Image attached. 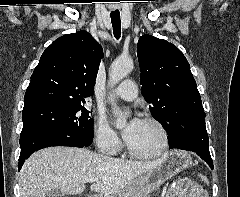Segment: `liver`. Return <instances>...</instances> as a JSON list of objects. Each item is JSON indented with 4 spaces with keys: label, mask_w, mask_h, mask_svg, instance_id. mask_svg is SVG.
Instances as JSON below:
<instances>
[{
    "label": "liver",
    "mask_w": 240,
    "mask_h": 197,
    "mask_svg": "<svg viewBox=\"0 0 240 197\" xmlns=\"http://www.w3.org/2000/svg\"><path fill=\"white\" fill-rule=\"evenodd\" d=\"M163 158L133 161L97 154L86 148H45L32 154L22 166L20 197H45L53 189L62 194H80L88 179H96L90 186L91 191L113 195L157 167Z\"/></svg>",
    "instance_id": "1"
}]
</instances>
